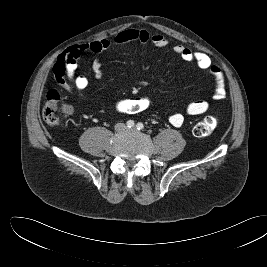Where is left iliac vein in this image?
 <instances>
[{"mask_svg":"<svg viewBox=\"0 0 267 267\" xmlns=\"http://www.w3.org/2000/svg\"><path fill=\"white\" fill-rule=\"evenodd\" d=\"M131 130L135 131V130H136V128H131Z\"/></svg>","mask_w":267,"mask_h":267,"instance_id":"left-iliac-vein-1","label":"left iliac vein"}]
</instances>
